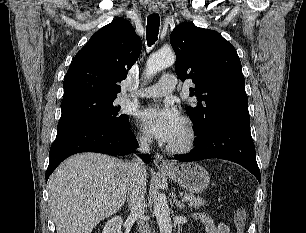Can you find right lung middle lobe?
<instances>
[{"instance_id": "right-lung-middle-lobe-1", "label": "right lung middle lobe", "mask_w": 306, "mask_h": 233, "mask_svg": "<svg viewBox=\"0 0 306 233\" xmlns=\"http://www.w3.org/2000/svg\"><path fill=\"white\" fill-rule=\"evenodd\" d=\"M116 98L85 97L61 103L62 116L57 127V137L76 130L100 126L121 130L129 125V118L119 114Z\"/></svg>"}]
</instances>
